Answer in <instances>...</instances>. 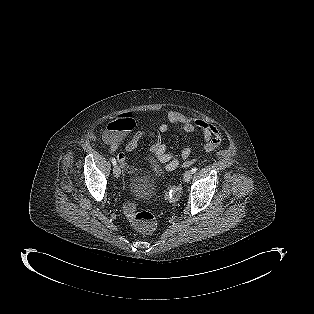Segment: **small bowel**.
I'll use <instances>...</instances> for the list:
<instances>
[{"mask_svg":"<svg viewBox=\"0 0 314 314\" xmlns=\"http://www.w3.org/2000/svg\"><path fill=\"white\" fill-rule=\"evenodd\" d=\"M171 124L179 125L185 133L201 132L204 137L203 149L205 153H211L222 143L223 136L216 125L198 117L190 118L179 112L169 111L166 119L158 127L135 132L127 143L125 151L127 153L133 152L144 137H150L153 139L151 150L157 159L165 164L167 171L175 170L180 164L189 165L191 162V148L189 146L182 149L180 160L177 156L169 153L167 145L161 142V134L168 132ZM120 141L110 143V150L115 151ZM117 158L123 168L133 171V168L126 163V154L124 152H119Z\"/></svg>","mask_w":314,"mask_h":314,"instance_id":"obj_1","label":"small bowel"}]
</instances>
